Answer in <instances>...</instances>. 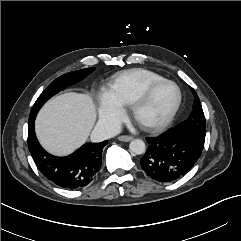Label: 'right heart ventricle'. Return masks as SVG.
<instances>
[{
    "label": "right heart ventricle",
    "instance_id": "e07e8e85",
    "mask_svg": "<svg viewBox=\"0 0 241 241\" xmlns=\"http://www.w3.org/2000/svg\"><path fill=\"white\" fill-rule=\"evenodd\" d=\"M162 79V75L151 70H126L114 77L111 90L122 106H130L148 85Z\"/></svg>",
    "mask_w": 241,
    "mask_h": 241
}]
</instances>
